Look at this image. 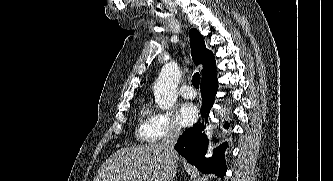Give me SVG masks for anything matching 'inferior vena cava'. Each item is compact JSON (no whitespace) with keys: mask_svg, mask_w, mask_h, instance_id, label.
<instances>
[{"mask_svg":"<svg viewBox=\"0 0 333 181\" xmlns=\"http://www.w3.org/2000/svg\"><path fill=\"white\" fill-rule=\"evenodd\" d=\"M181 134V128L179 126H172L168 134L164 137L161 142L167 157H168V170L166 173L165 181H173L176 175V158L177 154L174 150V145L176 144L179 136Z\"/></svg>","mask_w":333,"mask_h":181,"instance_id":"1","label":"inferior vena cava"}]
</instances>
